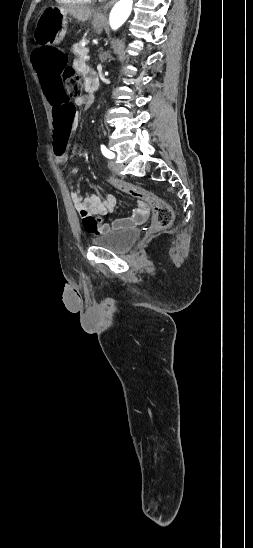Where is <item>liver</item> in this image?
<instances>
[{
	"mask_svg": "<svg viewBox=\"0 0 253 548\" xmlns=\"http://www.w3.org/2000/svg\"><path fill=\"white\" fill-rule=\"evenodd\" d=\"M62 12L70 14L72 17L77 19L79 22H85L91 18L94 13V9H91L82 5H72L66 7H59Z\"/></svg>",
	"mask_w": 253,
	"mask_h": 548,
	"instance_id": "6515ba94",
	"label": "liver"
}]
</instances>
